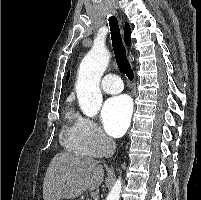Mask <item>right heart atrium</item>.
I'll return each mask as SVG.
<instances>
[{
	"label": "right heart atrium",
	"instance_id": "1",
	"mask_svg": "<svg viewBox=\"0 0 201 200\" xmlns=\"http://www.w3.org/2000/svg\"><path fill=\"white\" fill-rule=\"evenodd\" d=\"M75 132L78 145L84 154L101 156L112 147V141L103 133L98 124L89 118L76 115Z\"/></svg>",
	"mask_w": 201,
	"mask_h": 200
}]
</instances>
